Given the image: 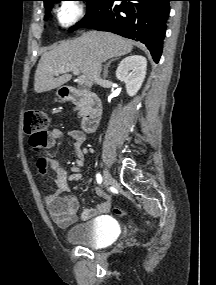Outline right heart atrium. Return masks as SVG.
I'll return each mask as SVG.
<instances>
[{"mask_svg": "<svg viewBox=\"0 0 216 285\" xmlns=\"http://www.w3.org/2000/svg\"><path fill=\"white\" fill-rule=\"evenodd\" d=\"M84 5L75 2H63L57 10L58 22L63 27H70L84 16Z\"/></svg>", "mask_w": 216, "mask_h": 285, "instance_id": "right-heart-atrium-1", "label": "right heart atrium"}]
</instances>
